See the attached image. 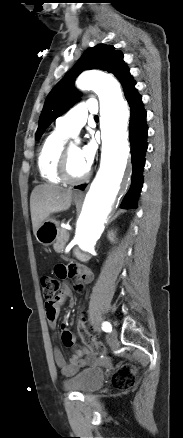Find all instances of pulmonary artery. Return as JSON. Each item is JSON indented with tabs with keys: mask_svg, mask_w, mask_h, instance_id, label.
Segmentation results:
<instances>
[{
	"mask_svg": "<svg viewBox=\"0 0 183 438\" xmlns=\"http://www.w3.org/2000/svg\"><path fill=\"white\" fill-rule=\"evenodd\" d=\"M98 113V103L95 99L80 103L59 117L56 128L66 135L76 134L86 123L89 114Z\"/></svg>",
	"mask_w": 183,
	"mask_h": 438,
	"instance_id": "pulmonary-artery-1",
	"label": "pulmonary artery"
}]
</instances>
